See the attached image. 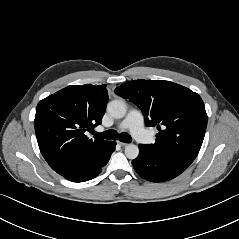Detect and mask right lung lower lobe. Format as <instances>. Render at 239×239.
Returning <instances> with one entry per match:
<instances>
[{"mask_svg":"<svg viewBox=\"0 0 239 239\" xmlns=\"http://www.w3.org/2000/svg\"><path fill=\"white\" fill-rule=\"evenodd\" d=\"M115 146V142L109 141L93 158L72 159L59 174L73 182L91 180L101 173L103 166L107 164L111 154L114 152Z\"/></svg>","mask_w":239,"mask_h":239,"instance_id":"obj_1","label":"right lung lower lobe"}]
</instances>
